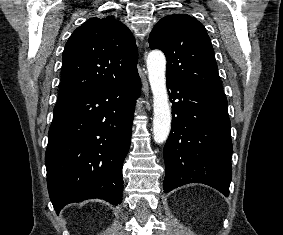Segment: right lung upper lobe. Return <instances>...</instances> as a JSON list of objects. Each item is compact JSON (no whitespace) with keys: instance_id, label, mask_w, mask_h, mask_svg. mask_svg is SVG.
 Masks as SVG:
<instances>
[{"instance_id":"cb5924a9","label":"right lung upper lobe","mask_w":283,"mask_h":235,"mask_svg":"<svg viewBox=\"0 0 283 235\" xmlns=\"http://www.w3.org/2000/svg\"><path fill=\"white\" fill-rule=\"evenodd\" d=\"M137 62L135 39L123 23L90 18L65 45L58 101L127 79L137 73Z\"/></svg>"}]
</instances>
